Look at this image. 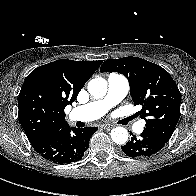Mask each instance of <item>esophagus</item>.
<instances>
[{
  "mask_svg": "<svg viewBox=\"0 0 196 196\" xmlns=\"http://www.w3.org/2000/svg\"><path fill=\"white\" fill-rule=\"evenodd\" d=\"M103 129H111L113 127V125L110 124H104L101 126Z\"/></svg>",
  "mask_w": 196,
  "mask_h": 196,
  "instance_id": "34e87169",
  "label": "esophagus"
}]
</instances>
